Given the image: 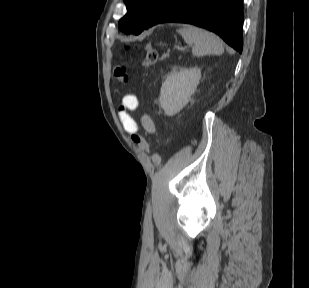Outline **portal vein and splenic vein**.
<instances>
[{
    "mask_svg": "<svg viewBox=\"0 0 309 288\" xmlns=\"http://www.w3.org/2000/svg\"><path fill=\"white\" fill-rule=\"evenodd\" d=\"M177 50H179V51H180V50H183V48H182V47H177Z\"/></svg>",
    "mask_w": 309,
    "mask_h": 288,
    "instance_id": "obj_1",
    "label": "portal vein and splenic vein"
}]
</instances>
